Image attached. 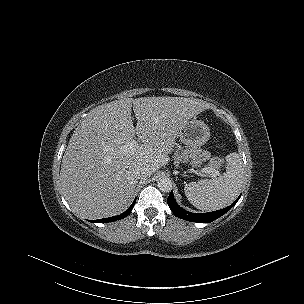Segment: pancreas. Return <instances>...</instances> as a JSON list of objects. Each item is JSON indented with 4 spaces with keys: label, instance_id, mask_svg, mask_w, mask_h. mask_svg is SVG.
Listing matches in <instances>:
<instances>
[{
    "label": "pancreas",
    "instance_id": "obj_1",
    "mask_svg": "<svg viewBox=\"0 0 304 304\" xmlns=\"http://www.w3.org/2000/svg\"><path fill=\"white\" fill-rule=\"evenodd\" d=\"M186 154L187 152H183V153H179L178 151L175 152L174 158H175V163H179V162H184L185 158H186ZM204 157L208 156V154L205 152L204 154H201ZM223 163V160L219 157H212L210 159V163L208 165V168H214V167H219L221 164Z\"/></svg>",
    "mask_w": 304,
    "mask_h": 304
}]
</instances>
